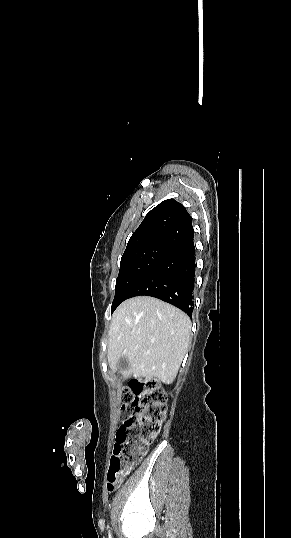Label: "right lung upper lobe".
Listing matches in <instances>:
<instances>
[{"label": "right lung upper lobe", "instance_id": "obj_1", "mask_svg": "<svg viewBox=\"0 0 291 538\" xmlns=\"http://www.w3.org/2000/svg\"><path fill=\"white\" fill-rule=\"evenodd\" d=\"M194 236L192 218L186 208L167 199L154 207L130 237L124 253L148 246L170 249Z\"/></svg>", "mask_w": 291, "mask_h": 538}]
</instances>
